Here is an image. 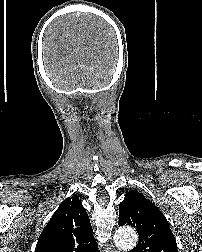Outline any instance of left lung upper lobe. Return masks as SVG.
Wrapping results in <instances>:
<instances>
[{"mask_svg": "<svg viewBox=\"0 0 202 252\" xmlns=\"http://www.w3.org/2000/svg\"><path fill=\"white\" fill-rule=\"evenodd\" d=\"M119 226L131 225L139 235L130 252H178L163 213L138 191H129L119 206Z\"/></svg>", "mask_w": 202, "mask_h": 252, "instance_id": "5c2ea615", "label": "left lung upper lobe"}]
</instances>
